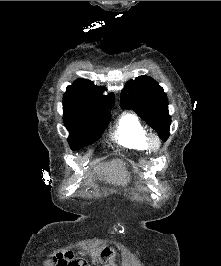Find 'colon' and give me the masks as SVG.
<instances>
[{"mask_svg":"<svg viewBox=\"0 0 221 266\" xmlns=\"http://www.w3.org/2000/svg\"><path fill=\"white\" fill-rule=\"evenodd\" d=\"M112 254V252L110 251V250H107L106 251V253L104 254V256L106 257V258H111V255ZM107 266H116L114 263H112V262H109L108 264H107Z\"/></svg>","mask_w":221,"mask_h":266,"instance_id":"obj_1","label":"colon"}]
</instances>
